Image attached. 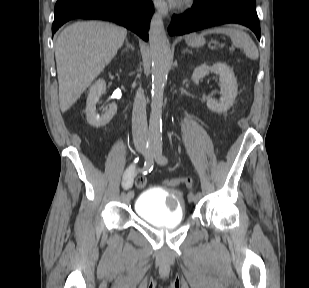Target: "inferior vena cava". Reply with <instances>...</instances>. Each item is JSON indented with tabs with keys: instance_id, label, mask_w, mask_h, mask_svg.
Masks as SVG:
<instances>
[{
	"instance_id": "obj_1",
	"label": "inferior vena cava",
	"mask_w": 309,
	"mask_h": 288,
	"mask_svg": "<svg viewBox=\"0 0 309 288\" xmlns=\"http://www.w3.org/2000/svg\"><path fill=\"white\" fill-rule=\"evenodd\" d=\"M132 134L135 145L145 146L148 139L146 100L143 90L138 89L133 105Z\"/></svg>"
}]
</instances>
